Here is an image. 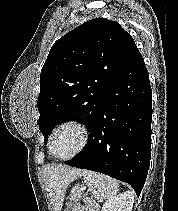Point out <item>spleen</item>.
<instances>
[{"mask_svg": "<svg viewBox=\"0 0 178 211\" xmlns=\"http://www.w3.org/2000/svg\"><path fill=\"white\" fill-rule=\"evenodd\" d=\"M84 182L88 189L97 198L110 199L119 192L118 182L105 175L94 171H85Z\"/></svg>", "mask_w": 178, "mask_h": 211, "instance_id": "1", "label": "spleen"}]
</instances>
